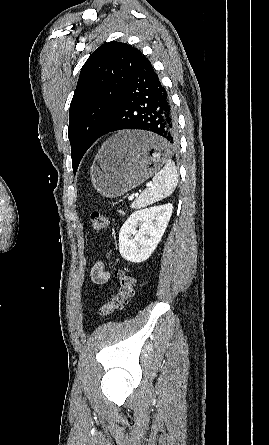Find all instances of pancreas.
I'll return each mask as SVG.
<instances>
[{
	"label": "pancreas",
	"mask_w": 269,
	"mask_h": 445,
	"mask_svg": "<svg viewBox=\"0 0 269 445\" xmlns=\"http://www.w3.org/2000/svg\"><path fill=\"white\" fill-rule=\"evenodd\" d=\"M119 213L122 214V215L125 214L124 211H122V210H119Z\"/></svg>",
	"instance_id": "1"
}]
</instances>
